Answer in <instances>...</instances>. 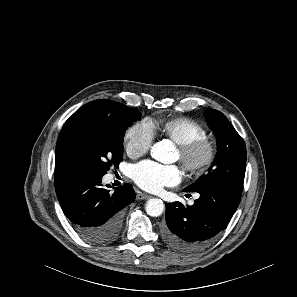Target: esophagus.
<instances>
[{"label":"esophagus","instance_id":"obj_1","mask_svg":"<svg viewBox=\"0 0 297 297\" xmlns=\"http://www.w3.org/2000/svg\"><path fill=\"white\" fill-rule=\"evenodd\" d=\"M136 198L138 200H147V199L151 198V196L146 193L138 192L136 195Z\"/></svg>","mask_w":297,"mask_h":297}]
</instances>
